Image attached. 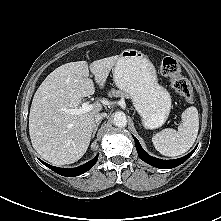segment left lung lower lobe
<instances>
[{"label":"left lung lower lobe","instance_id":"left-lung-lower-lobe-1","mask_svg":"<svg viewBox=\"0 0 221 221\" xmlns=\"http://www.w3.org/2000/svg\"><path fill=\"white\" fill-rule=\"evenodd\" d=\"M134 141H135V144H136V149H137V152H138V155L139 157L146 163L154 166V167H157V168H161V169H170V168H174L176 166H179L180 164H182L183 162H185L192 154L193 152L195 151V149L190 152L188 155L182 157V158H179V159H174V160H161V159H157V158H154L150 155H148V153L146 151H144V149L141 147L138 139H136L134 136Z\"/></svg>","mask_w":221,"mask_h":221}]
</instances>
